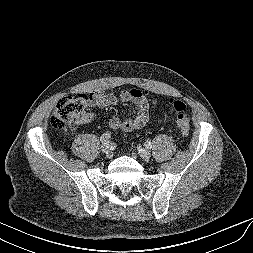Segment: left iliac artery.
<instances>
[{"label":"left iliac artery","instance_id":"1","mask_svg":"<svg viewBox=\"0 0 253 253\" xmlns=\"http://www.w3.org/2000/svg\"><path fill=\"white\" fill-rule=\"evenodd\" d=\"M145 147H146L147 149H151V147H152L151 142H150V141H146V142H145Z\"/></svg>","mask_w":253,"mask_h":253}]
</instances>
